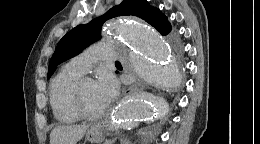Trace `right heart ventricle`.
Segmentation results:
<instances>
[{
    "mask_svg": "<svg viewBox=\"0 0 260 144\" xmlns=\"http://www.w3.org/2000/svg\"><path fill=\"white\" fill-rule=\"evenodd\" d=\"M84 73L71 63L64 65L50 85V104L55 119L62 124L76 122L79 117L71 107L74 87Z\"/></svg>",
    "mask_w": 260,
    "mask_h": 144,
    "instance_id": "right-heart-ventricle-1",
    "label": "right heart ventricle"
}]
</instances>
